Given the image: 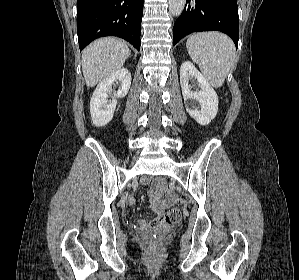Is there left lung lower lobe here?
I'll return each mask as SVG.
<instances>
[{
  "instance_id": "obj_1",
  "label": "left lung lower lobe",
  "mask_w": 299,
  "mask_h": 280,
  "mask_svg": "<svg viewBox=\"0 0 299 280\" xmlns=\"http://www.w3.org/2000/svg\"><path fill=\"white\" fill-rule=\"evenodd\" d=\"M213 30L226 33L238 46L236 0H187L184 11L174 24L173 45L192 32Z\"/></svg>"
}]
</instances>
